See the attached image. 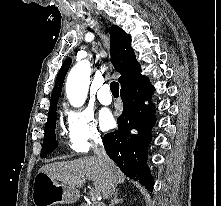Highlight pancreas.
Here are the masks:
<instances>
[{
  "label": "pancreas",
  "instance_id": "pancreas-1",
  "mask_svg": "<svg viewBox=\"0 0 221 206\" xmlns=\"http://www.w3.org/2000/svg\"><path fill=\"white\" fill-rule=\"evenodd\" d=\"M80 206H88L86 203L81 204Z\"/></svg>",
  "mask_w": 221,
  "mask_h": 206
}]
</instances>
